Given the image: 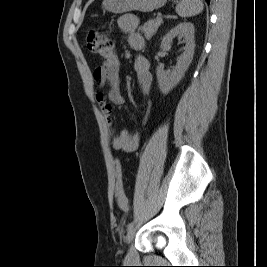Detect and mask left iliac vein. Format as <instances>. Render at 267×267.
Returning <instances> with one entry per match:
<instances>
[{"instance_id":"4c4485c4","label":"left iliac vein","mask_w":267,"mask_h":267,"mask_svg":"<svg viewBox=\"0 0 267 267\" xmlns=\"http://www.w3.org/2000/svg\"><path fill=\"white\" fill-rule=\"evenodd\" d=\"M135 233H136V228L135 227H132L130 230H128V233H127L126 238H125L127 243H131V241L135 237Z\"/></svg>"}]
</instances>
